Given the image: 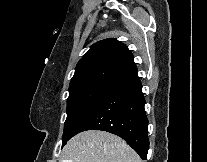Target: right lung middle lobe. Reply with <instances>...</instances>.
Segmentation results:
<instances>
[{
    "label": "right lung middle lobe",
    "mask_w": 207,
    "mask_h": 162,
    "mask_svg": "<svg viewBox=\"0 0 207 162\" xmlns=\"http://www.w3.org/2000/svg\"><path fill=\"white\" fill-rule=\"evenodd\" d=\"M114 89L112 86L95 85L69 90L62 147L82 120Z\"/></svg>",
    "instance_id": "obj_1"
}]
</instances>
